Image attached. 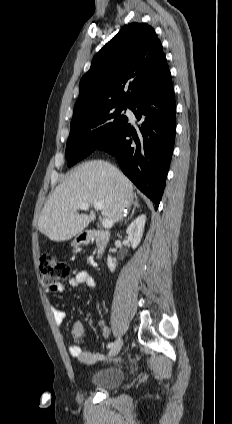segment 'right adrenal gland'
<instances>
[{"label":"right adrenal gland","mask_w":232,"mask_h":424,"mask_svg":"<svg viewBox=\"0 0 232 424\" xmlns=\"http://www.w3.org/2000/svg\"><path fill=\"white\" fill-rule=\"evenodd\" d=\"M139 207H140V205H139V203H138L137 196L135 195L134 208H133V210H132V213H131L130 217H128V219L125 221V223H126V224H127V222H128V221L132 218V216L134 215L135 209H136V208H139Z\"/></svg>","instance_id":"obj_1"}]
</instances>
